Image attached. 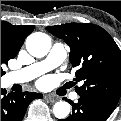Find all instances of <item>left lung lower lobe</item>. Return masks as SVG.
Returning a JSON list of instances; mask_svg holds the SVG:
<instances>
[{
	"label": "left lung lower lobe",
	"mask_w": 121,
	"mask_h": 121,
	"mask_svg": "<svg viewBox=\"0 0 121 121\" xmlns=\"http://www.w3.org/2000/svg\"><path fill=\"white\" fill-rule=\"evenodd\" d=\"M72 104L71 101H69ZM111 111L80 97L78 103L72 104V114L66 119L58 121H106Z\"/></svg>",
	"instance_id": "0a47b994"
}]
</instances>
